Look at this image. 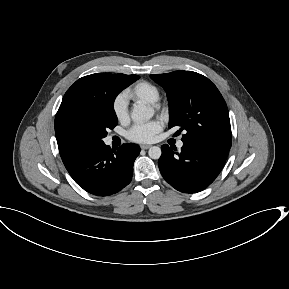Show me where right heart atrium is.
<instances>
[{
	"label": "right heart atrium",
	"mask_w": 289,
	"mask_h": 289,
	"mask_svg": "<svg viewBox=\"0 0 289 289\" xmlns=\"http://www.w3.org/2000/svg\"><path fill=\"white\" fill-rule=\"evenodd\" d=\"M112 110L120 122H126L129 119L128 101L124 95H118L112 103Z\"/></svg>",
	"instance_id": "obj_1"
}]
</instances>
